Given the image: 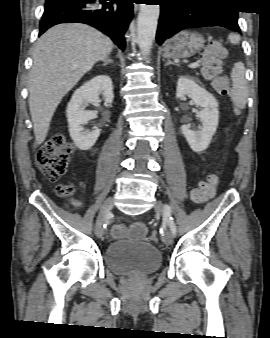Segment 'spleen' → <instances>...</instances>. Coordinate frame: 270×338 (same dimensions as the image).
I'll list each match as a JSON object with an SVG mask.
<instances>
[{
    "label": "spleen",
    "instance_id": "3e777b00",
    "mask_svg": "<svg viewBox=\"0 0 270 338\" xmlns=\"http://www.w3.org/2000/svg\"><path fill=\"white\" fill-rule=\"evenodd\" d=\"M231 100L240 108H244L247 97V87L245 79V68L242 62L234 64L231 71Z\"/></svg>",
    "mask_w": 270,
    "mask_h": 338
}]
</instances>
